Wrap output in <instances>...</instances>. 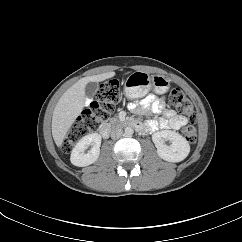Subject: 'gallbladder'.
I'll return each instance as SVG.
<instances>
[{
  "label": "gallbladder",
  "instance_id": "obj_1",
  "mask_svg": "<svg viewBox=\"0 0 242 242\" xmlns=\"http://www.w3.org/2000/svg\"><path fill=\"white\" fill-rule=\"evenodd\" d=\"M85 90L88 96H93L97 92L98 86L96 83L90 82L86 85Z\"/></svg>",
  "mask_w": 242,
  "mask_h": 242
}]
</instances>
